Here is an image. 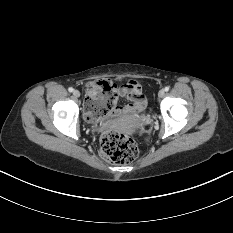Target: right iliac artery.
Instances as JSON below:
<instances>
[{
	"instance_id": "obj_1",
	"label": "right iliac artery",
	"mask_w": 233,
	"mask_h": 233,
	"mask_svg": "<svg viewBox=\"0 0 233 233\" xmlns=\"http://www.w3.org/2000/svg\"><path fill=\"white\" fill-rule=\"evenodd\" d=\"M73 90H74V89H73L72 87H69V88H68V91H69V92H73Z\"/></svg>"
}]
</instances>
